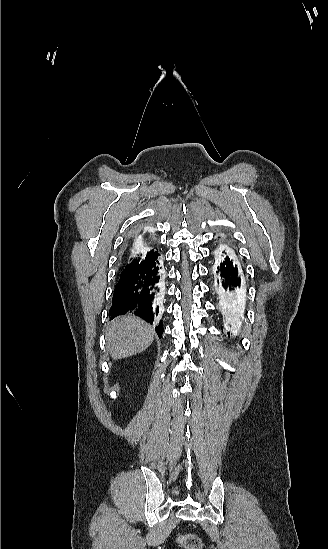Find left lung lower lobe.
<instances>
[{
  "label": "left lung lower lobe",
  "instance_id": "1",
  "mask_svg": "<svg viewBox=\"0 0 328 549\" xmlns=\"http://www.w3.org/2000/svg\"><path fill=\"white\" fill-rule=\"evenodd\" d=\"M216 259L213 267V289L219 297L221 308L225 312L233 309V297L243 292L244 288L241 282L240 273L235 264L233 252L227 246H222L215 250ZM230 336V334L228 333Z\"/></svg>",
  "mask_w": 328,
  "mask_h": 549
}]
</instances>
